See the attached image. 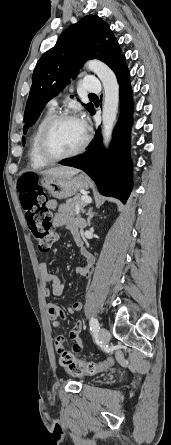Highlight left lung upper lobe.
Instances as JSON below:
<instances>
[{
	"instance_id": "1",
	"label": "left lung upper lobe",
	"mask_w": 171,
	"mask_h": 445,
	"mask_svg": "<svg viewBox=\"0 0 171 445\" xmlns=\"http://www.w3.org/2000/svg\"><path fill=\"white\" fill-rule=\"evenodd\" d=\"M95 58L104 61L114 72L126 65L108 24L96 15H88L67 28L56 45L37 62L24 113V134L36 122L46 103L70 82V78L77 76L83 63ZM82 105L89 112L94 109L92 103ZM22 142L25 143L24 137Z\"/></svg>"
}]
</instances>
